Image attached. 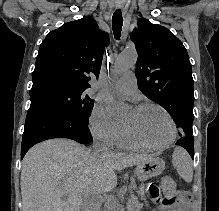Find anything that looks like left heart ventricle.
Masks as SVG:
<instances>
[{"label":"left heart ventricle","mask_w":219,"mask_h":211,"mask_svg":"<svg viewBox=\"0 0 219 211\" xmlns=\"http://www.w3.org/2000/svg\"><path fill=\"white\" fill-rule=\"evenodd\" d=\"M122 122L148 144H163L171 136V125L167 116L156 107L130 108Z\"/></svg>","instance_id":"b2bd125f"}]
</instances>
